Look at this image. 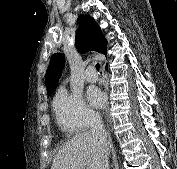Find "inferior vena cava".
Here are the masks:
<instances>
[{
    "mask_svg": "<svg viewBox=\"0 0 177 169\" xmlns=\"http://www.w3.org/2000/svg\"><path fill=\"white\" fill-rule=\"evenodd\" d=\"M91 134L99 139L103 146L105 156L103 161L102 169H109L108 155H109V142L107 140V132L103 126V122L100 116H94L91 119Z\"/></svg>",
    "mask_w": 177,
    "mask_h": 169,
    "instance_id": "602c4592",
    "label": "inferior vena cava"
}]
</instances>
